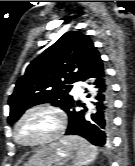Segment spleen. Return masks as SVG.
Here are the masks:
<instances>
[{"instance_id":"spleen-1","label":"spleen","mask_w":135,"mask_h":166,"mask_svg":"<svg viewBox=\"0 0 135 166\" xmlns=\"http://www.w3.org/2000/svg\"><path fill=\"white\" fill-rule=\"evenodd\" d=\"M61 142L68 145L74 153L75 166H85L94 161L98 151L97 148L91 145L85 139L79 136L64 137Z\"/></svg>"}]
</instances>
